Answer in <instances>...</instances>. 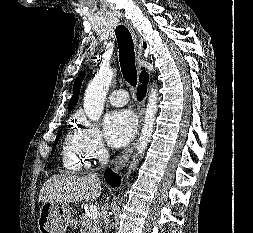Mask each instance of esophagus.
I'll return each mask as SVG.
<instances>
[{
	"mask_svg": "<svg viewBox=\"0 0 253 233\" xmlns=\"http://www.w3.org/2000/svg\"><path fill=\"white\" fill-rule=\"evenodd\" d=\"M130 31H131V33L134 37L135 44L138 48L136 62H137L138 70L140 72L141 71L140 62H141L142 57H143L142 42L138 39V37L135 34L132 27H130ZM144 111H145L144 102H140L137 106V113H138V118H139L138 131H137L136 136H135L134 140L132 141V143L116 158V161H115L114 166H113V170L116 171V172H118V171H120L121 169L124 168V166L126 165V163L128 162L129 158L131 157V155L134 151V148L137 144L138 137H139V134H140V129H141V126H142V123H143Z\"/></svg>",
	"mask_w": 253,
	"mask_h": 233,
	"instance_id": "esophagus-1",
	"label": "esophagus"
}]
</instances>
